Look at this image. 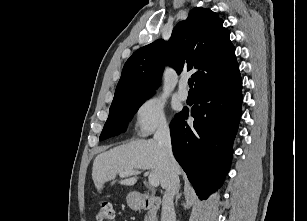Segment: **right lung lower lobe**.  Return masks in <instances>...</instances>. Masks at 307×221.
Here are the masks:
<instances>
[{
	"mask_svg": "<svg viewBox=\"0 0 307 221\" xmlns=\"http://www.w3.org/2000/svg\"><path fill=\"white\" fill-rule=\"evenodd\" d=\"M242 81L195 94L191 116L182 110L170 124L172 149L201 199L216 191L228 172L241 117Z\"/></svg>",
	"mask_w": 307,
	"mask_h": 221,
	"instance_id": "obj_1",
	"label": "right lung lower lobe"
}]
</instances>
